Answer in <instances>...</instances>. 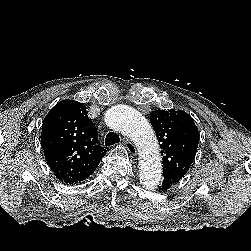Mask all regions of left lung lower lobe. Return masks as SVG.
Here are the masks:
<instances>
[{
    "label": "left lung lower lobe",
    "instance_id": "1",
    "mask_svg": "<svg viewBox=\"0 0 251 251\" xmlns=\"http://www.w3.org/2000/svg\"><path fill=\"white\" fill-rule=\"evenodd\" d=\"M162 183H163V182H162ZM167 187H169L167 184H165V185H163V186H162V184H161L160 187H159V190H161V191L167 190V189H168Z\"/></svg>",
    "mask_w": 251,
    "mask_h": 251
}]
</instances>
